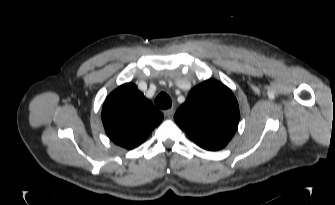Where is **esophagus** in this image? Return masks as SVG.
<instances>
[{"instance_id":"1","label":"esophagus","mask_w":335,"mask_h":205,"mask_svg":"<svg viewBox=\"0 0 335 205\" xmlns=\"http://www.w3.org/2000/svg\"><path fill=\"white\" fill-rule=\"evenodd\" d=\"M174 112H175V109L174 108H170V109H167V110H164V116L167 117V118H170L174 115Z\"/></svg>"}]
</instances>
